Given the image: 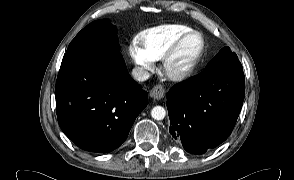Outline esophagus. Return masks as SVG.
<instances>
[{"label":"esophagus","mask_w":294,"mask_h":180,"mask_svg":"<svg viewBox=\"0 0 294 180\" xmlns=\"http://www.w3.org/2000/svg\"><path fill=\"white\" fill-rule=\"evenodd\" d=\"M165 94V89L161 84L155 85L151 90H150V96L153 99L160 100L164 97Z\"/></svg>","instance_id":"obj_1"}]
</instances>
